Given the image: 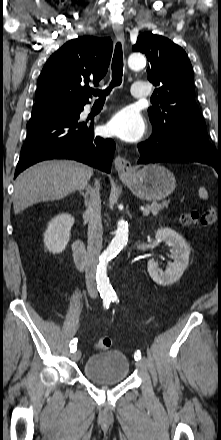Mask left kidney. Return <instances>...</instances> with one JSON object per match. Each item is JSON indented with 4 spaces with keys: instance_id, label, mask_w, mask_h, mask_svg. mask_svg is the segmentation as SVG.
Segmentation results:
<instances>
[{
    "instance_id": "left-kidney-1",
    "label": "left kidney",
    "mask_w": 221,
    "mask_h": 440,
    "mask_svg": "<svg viewBox=\"0 0 221 440\" xmlns=\"http://www.w3.org/2000/svg\"><path fill=\"white\" fill-rule=\"evenodd\" d=\"M157 241L171 246L173 263L162 271L154 259L148 261L147 269L152 280L162 286H169L177 282L183 275L189 263L190 246L186 240L171 228H160L155 233Z\"/></svg>"
}]
</instances>
